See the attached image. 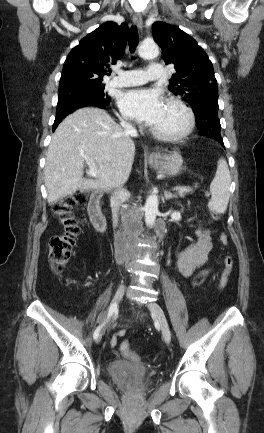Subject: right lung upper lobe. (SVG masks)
<instances>
[{
  "label": "right lung upper lobe",
  "instance_id": "obj_1",
  "mask_svg": "<svg viewBox=\"0 0 264 433\" xmlns=\"http://www.w3.org/2000/svg\"><path fill=\"white\" fill-rule=\"evenodd\" d=\"M127 29V23L106 22L83 38L64 62L59 93L69 88L102 84L110 65L124 54Z\"/></svg>",
  "mask_w": 264,
  "mask_h": 433
}]
</instances>
